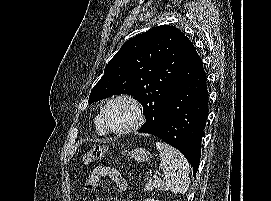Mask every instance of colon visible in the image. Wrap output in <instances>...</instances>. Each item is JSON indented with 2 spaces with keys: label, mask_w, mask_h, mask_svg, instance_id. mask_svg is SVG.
Returning <instances> with one entry per match:
<instances>
[{
  "label": "colon",
  "mask_w": 271,
  "mask_h": 201,
  "mask_svg": "<svg viewBox=\"0 0 271 201\" xmlns=\"http://www.w3.org/2000/svg\"><path fill=\"white\" fill-rule=\"evenodd\" d=\"M106 147L104 145H97L85 152L83 155V165L88 166L94 161L101 159L106 154Z\"/></svg>",
  "instance_id": "1"
}]
</instances>
